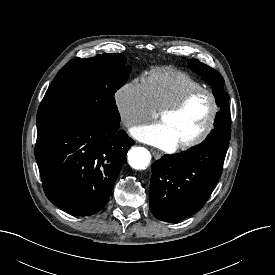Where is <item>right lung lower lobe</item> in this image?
I'll return each mask as SVG.
<instances>
[{
    "label": "right lung lower lobe",
    "mask_w": 275,
    "mask_h": 275,
    "mask_svg": "<svg viewBox=\"0 0 275 275\" xmlns=\"http://www.w3.org/2000/svg\"><path fill=\"white\" fill-rule=\"evenodd\" d=\"M134 141L119 126L84 120L37 135L35 157L47 198L76 216L108 201Z\"/></svg>",
    "instance_id": "right-lung-lower-lobe-1"
}]
</instances>
